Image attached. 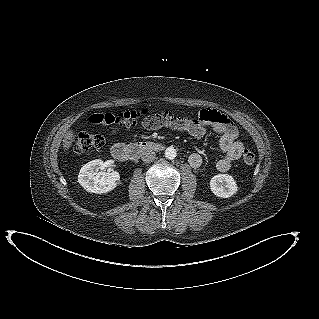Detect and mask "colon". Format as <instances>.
<instances>
[{
  "label": "colon",
  "mask_w": 319,
  "mask_h": 319,
  "mask_svg": "<svg viewBox=\"0 0 319 319\" xmlns=\"http://www.w3.org/2000/svg\"><path fill=\"white\" fill-rule=\"evenodd\" d=\"M147 113L146 109L140 111L113 112L103 115L104 123L129 127L138 123L143 115ZM104 144V137L91 132H80L74 138V152L84 154L91 150L98 149ZM243 161L246 164H252L255 161V154L251 150L243 152Z\"/></svg>",
  "instance_id": "1"
}]
</instances>
